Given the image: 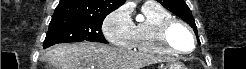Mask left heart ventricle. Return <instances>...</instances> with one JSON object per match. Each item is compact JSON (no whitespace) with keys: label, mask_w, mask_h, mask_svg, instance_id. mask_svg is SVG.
I'll list each match as a JSON object with an SVG mask.
<instances>
[{"label":"left heart ventricle","mask_w":246,"mask_h":69,"mask_svg":"<svg viewBox=\"0 0 246 69\" xmlns=\"http://www.w3.org/2000/svg\"><path fill=\"white\" fill-rule=\"evenodd\" d=\"M168 40L174 47L179 49L187 48L188 44L191 42L188 32L179 25H176L171 29L168 34Z\"/></svg>","instance_id":"left-heart-ventricle-1"}]
</instances>
